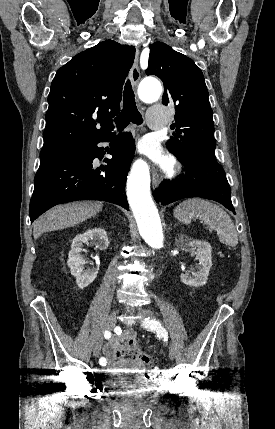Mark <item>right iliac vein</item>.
<instances>
[{
  "mask_svg": "<svg viewBox=\"0 0 275 429\" xmlns=\"http://www.w3.org/2000/svg\"><path fill=\"white\" fill-rule=\"evenodd\" d=\"M115 324H116V311H113L106 319L105 329L112 330L115 327ZM102 344H103V338L102 336H99L93 349V355L95 357L99 356Z\"/></svg>",
  "mask_w": 275,
  "mask_h": 429,
  "instance_id": "obj_1",
  "label": "right iliac vein"
}]
</instances>
